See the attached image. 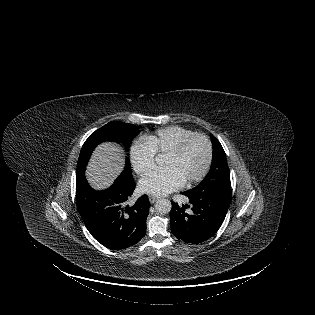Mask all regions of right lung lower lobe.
<instances>
[{
    "label": "right lung lower lobe",
    "instance_id": "98d812e1",
    "mask_svg": "<svg viewBox=\"0 0 315 315\" xmlns=\"http://www.w3.org/2000/svg\"><path fill=\"white\" fill-rule=\"evenodd\" d=\"M134 189L132 175L125 172L103 191L91 188L84 173L76 175L78 211L91 235L109 249L130 247L145 234L150 203L143 195L135 204H128Z\"/></svg>",
    "mask_w": 315,
    "mask_h": 315
}]
</instances>
